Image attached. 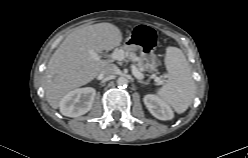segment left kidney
<instances>
[{"label":"left kidney","mask_w":248,"mask_h":158,"mask_svg":"<svg viewBox=\"0 0 248 158\" xmlns=\"http://www.w3.org/2000/svg\"><path fill=\"white\" fill-rule=\"evenodd\" d=\"M144 104L150 113L159 120H171L174 117L170 106L161 100L157 95L148 94L143 98Z\"/></svg>","instance_id":"left-kidney-1"}]
</instances>
